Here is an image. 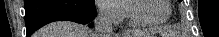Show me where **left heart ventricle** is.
<instances>
[{"mask_svg": "<svg viewBox=\"0 0 219 37\" xmlns=\"http://www.w3.org/2000/svg\"><path fill=\"white\" fill-rule=\"evenodd\" d=\"M163 0H143L134 3V13L142 20L158 21L167 15Z\"/></svg>", "mask_w": 219, "mask_h": 37, "instance_id": "b2bd125f", "label": "left heart ventricle"}]
</instances>
